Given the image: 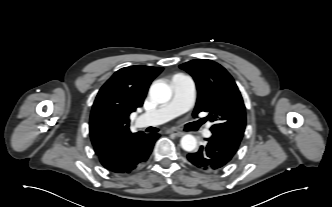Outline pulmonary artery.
Instances as JSON below:
<instances>
[{
  "mask_svg": "<svg viewBox=\"0 0 332 207\" xmlns=\"http://www.w3.org/2000/svg\"><path fill=\"white\" fill-rule=\"evenodd\" d=\"M171 86L173 89L172 99L157 109L140 115L137 118L139 126L163 124L191 108L195 99V84L193 80L185 75H176L172 79ZM203 135L210 137V125L203 131Z\"/></svg>",
  "mask_w": 332,
  "mask_h": 207,
  "instance_id": "pulmonary-artery-1",
  "label": "pulmonary artery"
}]
</instances>
